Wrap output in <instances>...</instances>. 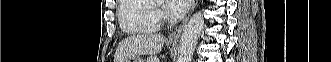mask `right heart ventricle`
Listing matches in <instances>:
<instances>
[{
  "label": "right heart ventricle",
  "instance_id": "1",
  "mask_svg": "<svg viewBox=\"0 0 331 62\" xmlns=\"http://www.w3.org/2000/svg\"><path fill=\"white\" fill-rule=\"evenodd\" d=\"M121 29L128 34L158 30L153 4L148 0H120L117 9Z\"/></svg>",
  "mask_w": 331,
  "mask_h": 62
}]
</instances>
